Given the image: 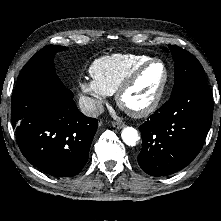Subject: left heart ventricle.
<instances>
[{"mask_svg":"<svg viewBox=\"0 0 221 221\" xmlns=\"http://www.w3.org/2000/svg\"><path fill=\"white\" fill-rule=\"evenodd\" d=\"M164 76L161 64L149 66L139 77L134 86L125 94L124 104L131 109L147 105L156 94Z\"/></svg>","mask_w":221,"mask_h":221,"instance_id":"1","label":"left heart ventricle"}]
</instances>
